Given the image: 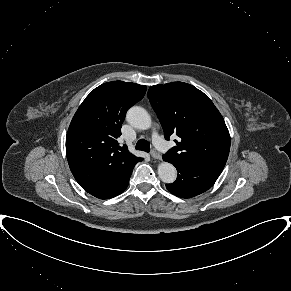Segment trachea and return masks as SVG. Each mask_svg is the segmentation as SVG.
I'll return each instance as SVG.
<instances>
[{
  "mask_svg": "<svg viewBox=\"0 0 291 291\" xmlns=\"http://www.w3.org/2000/svg\"><path fill=\"white\" fill-rule=\"evenodd\" d=\"M136 150H141V151L149 152L150 151V144H149V142L147 140H145V139H140L136 143Z\"/></svg>",
  "mask_w": 291,
  "mask_h": 291,
  "instance_id": "obj_1",
  "label": "trachea"
}]
</instances>
